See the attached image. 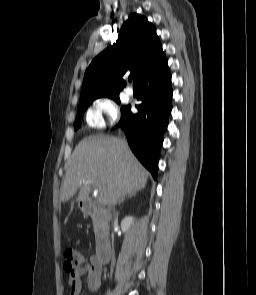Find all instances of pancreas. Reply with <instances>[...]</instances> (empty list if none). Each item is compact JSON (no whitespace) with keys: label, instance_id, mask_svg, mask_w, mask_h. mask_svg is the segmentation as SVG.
I'll list each match as a JSON object with an SVG mask.
<instances>
[{"label":"pancreas","instance_id":"cf45deb5","mask_svg":"<svg viewBox=\"0 0 256 295\" xmlns=\"http://www.w3.org/2000/svg\"><path fill=\"white\" fill-rule=\"evenodd\" d=\"M93 225H94V231L96 232V236H97L98 235V232L103 229V226L104 225H103L101 219L98 218V217H96L94 219Z\"/></svg>","mask_w":256,"mask_h":295}]
</instances>
